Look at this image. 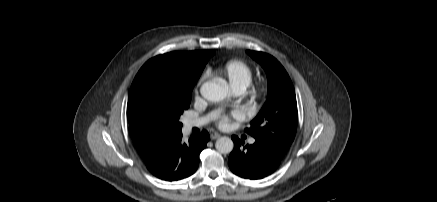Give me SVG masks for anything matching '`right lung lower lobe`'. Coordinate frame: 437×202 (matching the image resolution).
I'll return each instance as SVG.
<instances>
[{"label":"right lung lower lobe","instance_id":"1","mask_svg":"<svg viewBox=\"0 0 437 202\" xmlns=\"http://www.w3.org/2000/svg\"><path fill=\"white\" fill-rule=\"evenodd\" d=\"M209 141V133L182 141V132L173 136L145 161L147 169L156 177L166 181H178L194 174L199 165V154Z\"/></svg>","mask_w":437,"mask_h":202}]
</instances>
